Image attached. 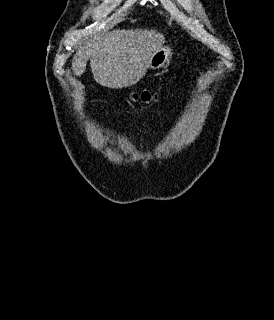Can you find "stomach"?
I'll list each match as a JSON object with an SVG mask.
<instances>
[{"label":"stomach","instance_id":"stomach-1","mask_svg":"<svg viewBox=\"0 0 274 320\" xmlns=\"http://www.w3.org/2000/svg\"><path fill=\"white\" fill-rule=\"evenodd\" d=\"M172 56L170 48H159L158 52H155L153 58L150 60V70H159L163 68L167 62H169Z\"/></svg>","mask_w":274,"mask_h":320}]
</instances>
